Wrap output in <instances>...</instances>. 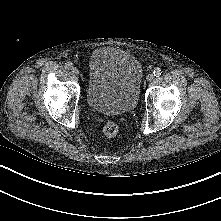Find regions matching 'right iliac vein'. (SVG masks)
Here are the masks:
<instances>
[{"label":"right iliac vein","mask_w":221,"mask_h":221,"mask_svg":"<svg viewBox=\"0 0 221 221\" xmlns=\"http://www.w3.org/2000/svg\"><path fill=\"white\" fill-rule=\"evenodd\" d=\"M71 73L76 76V75L79 74V70H78L76 67H73V68L71 69Z\"/></svg>","instance_id":"obj_1"}]
</instances>
